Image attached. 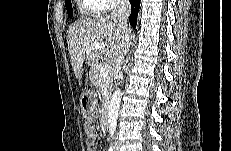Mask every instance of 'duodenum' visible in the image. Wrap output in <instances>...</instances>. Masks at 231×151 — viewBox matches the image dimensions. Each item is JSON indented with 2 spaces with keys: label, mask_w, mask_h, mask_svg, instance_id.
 Returning <instances> with one entry per match:
<instances>
[{
  "label": "duodenum",
  "mask_w": 231,
  "mask_h": 151,
  "mask_svg": "<svg viewBox=\"0 0 231 151\" xmlns=\"http://www.w3.org/2000/svg\"><path fill=\"white\" fill-rule=\"evenodd\" d=\"M109 106H110L109 98H106L104 101L102 114H101V123L103 127H106L108 124Z\"/></svg>",
  "instance_id": "1"
}]
</instances>
